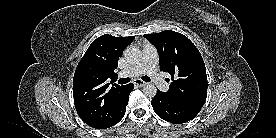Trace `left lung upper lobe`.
<instances>
[{"mask_svg":"<svg viewBox=\"0 0 276 138\" xmlns=\"http://www.w3.org/2000/svg\"><path fill=\"white\" fill-rule=\"evenodd\" d=\"M158 50L160 70L172 77L166 95L202 108L207 96V75L202 56L183 34L166 30L144 35Z\"/></svg>","mask_w":276,"mask_h":138,"instance_id":"obj_1","label":"left lung upper lobe"}]
</instances>
